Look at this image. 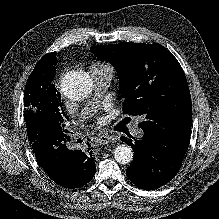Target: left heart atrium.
Masks as SVG:
<instances>
[{
    "instance_id": "left-heart-atrium-1",
    "label": "left heart atrium",
    "mask_w": 219,
    "mask_h": 219,
    "mask_svg": "<svg viewBox=\"0 0 219 219\" xmlns=\"http://www.w3.org/2000/svg\"><path fill=\"white\" fill-rule=\"evenodd\" d=\"M98 122H103V118L102 117H97Z\"/></svg>"
}]
</instances>
